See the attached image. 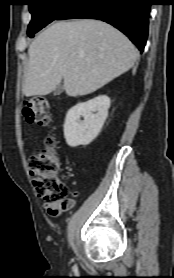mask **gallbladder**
Instances as JSON below:
<instances>
[{
  "label": "gallbladder",
  "mask_w": 174,
  "mask_h": 278,
  "mask_svg": "<svg viewBox=\"0 0 174 278\" xmlns=\"http://www.w3.org/2000/svg\"><path fill=\"white\" fill-rule=\"evenodd\" d=\"M62 92H63V86H62V85H58V86L56 87V89L53 90V94H54L55 96L60 95Z\"/></svg>",
  "instance_id": "gallbladder-1"
}]
</instances>
